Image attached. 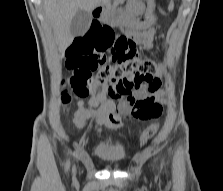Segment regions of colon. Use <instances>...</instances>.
Wrapping results in <instances>:
<instances>
[{
    "mask_svg": "<svg viewBox=\"0 0 223 191\" xmlns=\"http://www.w3.org/2000/svg\"><path fill=\"white\" fill-rule=\"evenodd\" d=\"M106 52L110 53L112 64H105ZM67 67L73 70L69 87L79 97L88 96L98 83H124L129 88H135L150 83L154 77H164L157 63L139 57L137 44L132 38L116 35L107 25L92 27L73 40L67 50ZM98 68L93 76V71ZM71 99L69 89H65L62 103L67 105ZM152 112L157 114L159 109L153 108ZM155 132V125L144 129L139 137L140 143L147 142Z\"/></svg>",
    "mask_w": 223,
    "mask_h": 191,
    "instance_id": "colon-1",
    "label": "colon"
}]
</instances>
